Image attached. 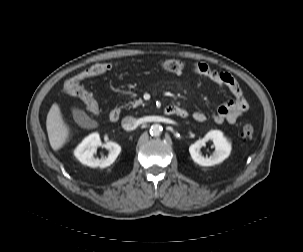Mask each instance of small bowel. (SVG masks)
<instances>
[{
  "mask_svg": "<svg viewBox=\"0 0 303 252\" xmlns=\"http://www.w3.org/2000/svg\"><path fill=\"white\" fill-rule=\"evenodd\" d=\"M193 73L195 77H205L228 89L233 98L221 104L211 117L217 123L228 122L234 124L246 109V99L238 83L230 75L214 71L205 63L195 64L193 66ZM193 80L194 77L186 78L185 83H191ZM178 108L182 111L181 116L187 115L185 109ZM192 116L198 122H203L207 119V115L201 111L194 112Z\"/></svg>",
  "mask_w": 303,
  "mask_h": 252,
  "instance_id": "c3829d8e",
  "label": "small bowel"
}]
</instances>
